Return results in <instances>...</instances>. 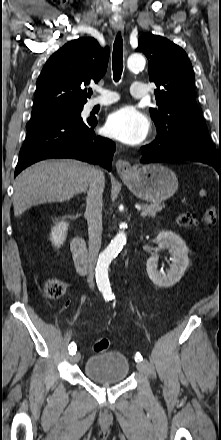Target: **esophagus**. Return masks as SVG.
Returning <instances> with one entry per match:
<instances>
[{"instance_id": "1", "label": "esophagus", "mask_w": 221, "mask_h": 440, "mask_svg": "<svg viewBox=\"0 0 221 440\" xmlns=\"http://www.w3.org/2000/svg\"><path fill=\"white\" fill-rule=\"evenodd\" d=\"M111 25L117 32H122L124 30V24L121 19H112ZM115 166L120 176H128L132 172V166L126 160L118 159Z\"/></svg>"}]
</instances>
